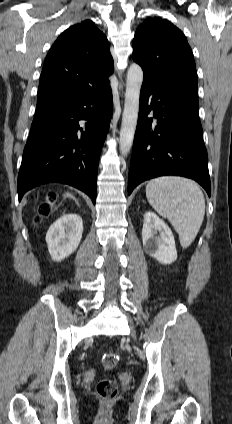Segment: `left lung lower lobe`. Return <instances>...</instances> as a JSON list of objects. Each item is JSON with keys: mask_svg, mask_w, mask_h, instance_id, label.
<instances>
[{"mask_svg": "<svg viewBox=\"0 0 232 424\" xmlns=\"http://www.w3.org/2000/svg\"><path fill=\"white\" fill-rule=\"evenodd\" d=\"M151 111L155 123L147 118ZM163 175L194 179L211 194L198 94L186 87L155 88L142 84L128 194L141 182Z\"/></svg>", "mask_w": 232, "mask_h": 424, "instance_id": "0a47b994", "label": "left lung lower lobe"}]
</instances>
